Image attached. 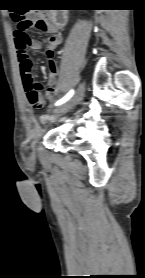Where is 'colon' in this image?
I'll return each instance as SVG.
<instances>
[{"mask_svg": "<svg viewBox=\"0 0 145 278\" xmlns=\"http://www.w3.org/2000/svg\"><path fill=\"white\" fill-rule=\"evenodd\" d=\"M48 18H34L31 21L20 20L16 23L14 35L17 39L16 48L19 57H24L28 50L31 48L30 39L25 34L27 29L36 31H45L48 28ZM28 68V65L24 66V69ZM25 88L27 90V98L30 105L35 108H41L43 106V97L40 93V86L35 83L32 75L26 77Z\"/></svg>", "mask_w": 145, "mask_h": 278, "instance_id": "5ec220e1", "label": "colon"}]
</instances>
